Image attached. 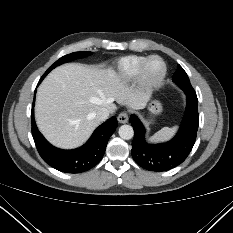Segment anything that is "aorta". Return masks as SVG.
I'll return each instance as SVG.
<instances>
[{
    "mask_svg": "<svg viewBox=\"0 0 233 233\" xmlns=\"http://www.w3.org/2000/svg\"><path fill=\"white\" fill-rule=\"evenodd\" d=\"M118 133H119V136L124 140H129L134 136V131H133L132 126L126 125V124L122 125L119 128Z\"/></svg>",
    "mask_w": 233,
    "mask_h": 233,
    "instance_id": "762f6f07",
    "label": "aorta"
}]
</instances>
